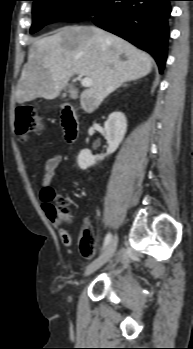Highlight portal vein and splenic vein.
Instances as JSON below:
<instances>
[{
	"instance_id": "portal-vein-and-splenic-vein-1",
	"label": "portal vein and splenic vein",
	"mask_w": 193,
	"mask_h": 349,
	"mask_svg": "<svg viewBox=\"0 0 193 349\" xmlns=\"http://www.w3.org/2000/svg\"><path fill=\"white\" fill-rule=\"evenodd\" d=\"M79 76L82 77L81 85L83 87H91L93 85V81L91 78L84 76L83 74H79Z\"/></svg>"
}]
</instances>
